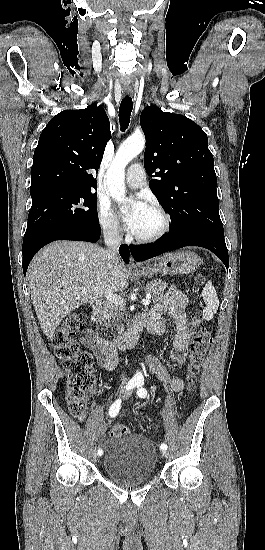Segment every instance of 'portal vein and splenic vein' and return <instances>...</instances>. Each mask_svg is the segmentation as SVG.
Here are the masks:
<instances>
[{
    "label": "portal vein and splenic vein",
    "instance_id": "portal-vein-and-splenic-vein-1",
    "mask_svg": "<svg viewBox=\"0 0 265 550\" xmlns=\"http://www.w3.org/2000/svg\"><path fill=\"white\" fill-rule=\"evenodd\" d=\"M86 291H87V290H86L85 288L82 289V292H86ZM104 296L109 300V302H112V303H114V304H118V305H119V304H122V303H123V299H122L120 296H118V295H116V294H113V293H111V292L105 293ZM150 298H151V295H147V296H146V299H143V300H142V304L145 305V306H148V305L150 304V302H151Z\"/></svg>",
    "mask_w": 265,
    "mask_h": 550
}]
</instances>
